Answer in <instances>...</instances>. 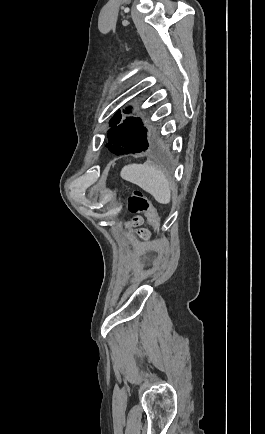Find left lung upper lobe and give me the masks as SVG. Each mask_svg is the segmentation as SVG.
I'll list each match as a JSON object with an SVG mask.
<instances>
[{
    "label": "left lung upper lobe",
    "mask_w": 265,
    "mask_h": 434,
    "mask_svg": "<svg viewBox=\"0 0 265 434\" xmlns=\"http://www.w3.org/2000/svg\"><path fill=\"white\" fill-rule=\"evenodd\" d=\"M128 111L130 110L128 109ZM120 121L121 114L118 112L110 122V126L113 128L108 131V138L112 145H107L108 148H121L127 141L145 130L140 118L130 117L124 123L116 126Z\"/></svg>",
    "instance_id": "obj_1"
}]
</instances>
